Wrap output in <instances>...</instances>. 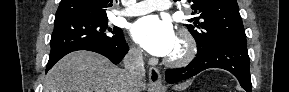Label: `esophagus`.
I'll list each match as a JSON object with an SVG mask.
<instances>
[{"instance_id": "obj_1", "label": "esophagus", "mask_w": 289, "mask_h": 92, "mask_svg": "<svg viewBox=\"0 0 289 92\" xmlns=\"http://www.w3.org/2000/svg\"><path fill=\"white\" fill-rule=\"evenodd\" d=\"M149 84L151 87L161 86V75L160 71L156 67L149 68Z\"/></svg>"}]
</instances>
